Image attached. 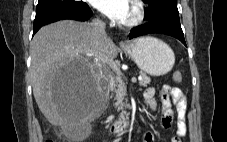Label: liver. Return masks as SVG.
I'll return each instance as SVG.
<instances>
[{
  "label": "liver",
  "instance_id": "6515ba94",
  "mask_svg": "<svg viewBox=\"0 0 227 142\" xmlns=\"http://www.w3.org/2000/svg\"><path fill=\"white\" fill-rule=\"evenodd\" d=\"M30 54L36 103L51 124L66 129L81 116L80 102L89 90L87 83L91 81L94 88H99L102 74H109L118 48L108 36L94 38L89 23L63 20L35 34ZM72 61H79L83 78H53V73H60V68L72 65ZM64 80H77L76 88H63Z\"/></svg>",
  "mask_w": 227,
  "mask_h": 142
}]
</instances>
